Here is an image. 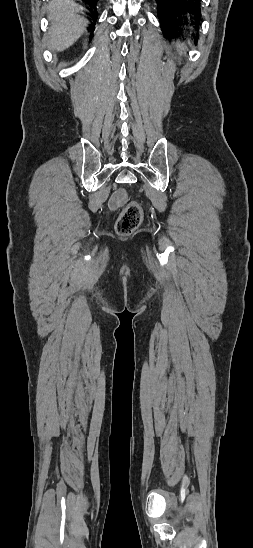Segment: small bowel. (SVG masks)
Returning <instances> with one entry per match:
<instances>
[{
    "label": "small bowel",
    "instance_id": "obj_1",
    "mask_svg": "<svg viewBox=\"0 0 253 548\" xmlns=\"http://www.w3.org/2000/svg\"><path fill=\"white\" fill-rule=\"evenodd\" d=\"M126 201V192L124 189H117L110 198L109 207L112 210L120 208Z\"/></svg>",
    "mask_w": 253,
    "mask_h": 548
}]
</instances>
